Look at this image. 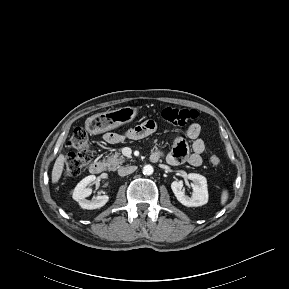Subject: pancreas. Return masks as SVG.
<instances>
[{
    "label": "pancreas",
    "instance_id": "obj_1",
    "mask_svg": "<svg viewBox=\"0 0 289 289\" xmlns=\"http://www.w3.org/2000/svg\"><path fill=\"white\" fill-rule=\"evenodd\" d=\"M104 164L107 166L108 170L115 171L121 167V165L125 162V157L120 153L116 152L111 156H107L103 160Z\"/></svg>",
    "mask_w": 289,
    "mask_h": 289
}]
</instances>
